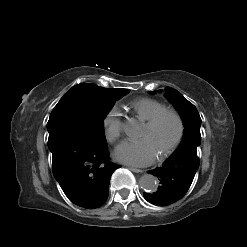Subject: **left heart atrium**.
Returning a JSON list of instances; mask_svg holds the SVG:
<instances>
[{
    "label": "left heart atrium",
    "instance_id": "left-heart-atrium-1",
    "mask_svg": "<svg viewBox=\"0 0 247 247\" xmlns=\"http://www.w3.org/2000/svg\"><path fill=\"white\" fill-rule=\"evenodd\" d=\"M157 150L148 138L137 141H124L117 146L114 157L117 161L134 165L146 166L153 163L157 157Z\"/></svg>",
    "mask_w": 247,
    "mask_h": 247
}]
</instances>
